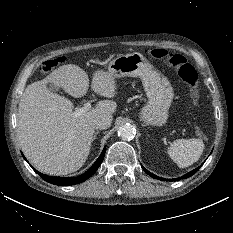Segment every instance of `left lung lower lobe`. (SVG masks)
<instances>
[{"label":"left lung lower lobe","mask_w":233,"mask_h":233,"mask_svg":"<svg viewBox=\"0 0 233 233\" xmlns=\"http://www.w3.org/2000/svg\"><path fill=\"white\" fill-rule=\"evenodd\" d=\"M200 167H201V166H200ZM200 167H198V168H196V169L190 171L189 173H187L186 175H184V176L181 177V178H188V177H191L193 174H195V173L198 171V169H199ZM142 168H143L144 171H145L148 175H150L151 177L156 178V179H159V180H164L163 178L158 177V176L152 174L151 172L147 171L143 166H142ZM179 179H180V178H176V179H173V180L176 181V180H179Z\"/></svg>","instance_id":"left-lung-lower-lobe-1"}]
</instances>
